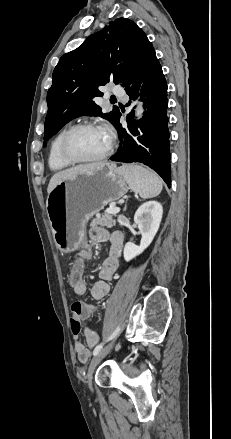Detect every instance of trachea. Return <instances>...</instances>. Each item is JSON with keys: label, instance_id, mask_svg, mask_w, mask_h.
Returning <instances> with one entry per match:
<instances>
[{"label": "trachea", "instance_id": "3493384b", "mask_svg": "<svg viewBox=\"0 0 231 439\" xmlns=\"http://www.w3.org/2000/svg\"><path fill=\"white\" fill-rule=\"evenodd\" d=\"M112 100H116V98L113 96L112 98H111Z\"/></svg>", "mask_w": 231, "mask_h": 439}]
</instances>
